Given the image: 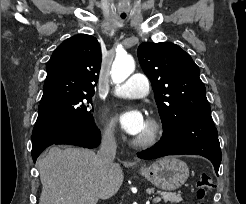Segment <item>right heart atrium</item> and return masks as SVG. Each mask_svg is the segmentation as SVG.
I'll use <instances>...</instances> for the list:
<instances>
[{
	"label": "right heart atrium",
	"instance_id": "1",
	"mask_svg": "<svg viewBox=\"0 0 246 204\" xmlns=\"http://www.w3.org/2000/svg\"><path fill=\"white\" fill-rule=\"evenodd\" d=\"M100 129L102 137L106 140H113L116 136V126L114 122L104 116L100 117Z\"/></svg>",
	"mask_w": 246,
	"mask_h": 204
}]
</instances>
